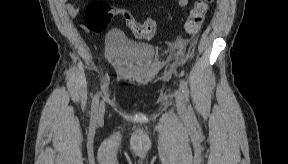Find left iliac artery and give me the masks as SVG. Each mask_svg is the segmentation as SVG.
Here are the masks:
<instances>
[{"label":"left iliac artery","mask_w":288,"mask_h":164,"mask_svg":"<svg viewBox=\"0 0 288 164\" xmlns=\"http://www.w3.org/2000/svg\"><path fill=\"white\" fill-rule=\"evenodd\" d=\"M180 88H181L182 93L184 94V96L186 98V101L189 103V88H188L187 83L184 80H180ZM188 110H189L190 118L192 120H195V115H194L193 109H192L190 104L188 106Z\"/></svg>","instance_id":"44dca946"}]
</instances>
